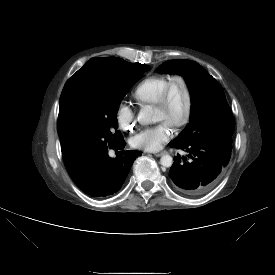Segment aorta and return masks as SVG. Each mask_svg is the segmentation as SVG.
Instances as JSON below:
<instances>
[{"label": "aorta", "instance_id": "obj_1", "mask_svg": "<svg viewBox=\"0 0 275 275\" xmlns=\"http://www.w3.org/2000/svg\"><path fill=\"white\" fill-rule=\"evenodd\" d=\"M137 120L141 125H148L151 122L157 121L154 117V110L149 105H145L141 108ZM160 164L164 167H171L173 164V158L169 154H165L160 158Z\"/></svg>", "mask_w": 275, "mask_h": 275}]
</instances>
